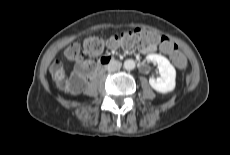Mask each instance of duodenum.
<instances>
[{"label": "duodenum", "instance_id": "410a0bca", "mask_svg": "<svg viewBox=\"0 0 230 155\" xmlns=\"http://www.w3.org/2000/svg\"><path fill=\"white\" fill-rule=\"evenodd\" d=\"M114 62H115V58L114 57L109 56V55L103 56L99 60L97 66H96V68L94 70V74L96 75V74L100 73L102 70L105 69V67H107L110 64H113Z\"/></svg>", "mask_w": 230, "mask_h": 155}]
</instances>
